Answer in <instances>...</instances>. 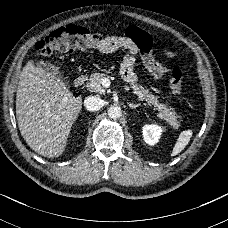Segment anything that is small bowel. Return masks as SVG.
<instances>
[{
  "mask_svg": "<svg viewBox=\"0 0 228 228\" xmlns=\"http://www.w3.org/2000/svg\"><path fill=\"white\" fill-rule=\"evenodd\" d=\"M141 32L142 31L137 27H129L123 36H109L99 47V50L103 53H111L118 49H125L128 51L121 66V74L128 82H134L136 80L134 66L136 64L138 50L145 53L141 54V60L145 68L153 76L162 77L168 73V69L156 61L154 56L149 52L153 46L152 40L149 37H140L137 40L136 47L131 37L127 34L135 35L140 34ZM161 53L170 59L175 57V53L170 49H162Z\"/></svg>",
  "mask_w": 228,
  "mask_h": 228,
  "instance_id": "small-bowel-1",
  "label": "small bowel"
}]
</instances>
